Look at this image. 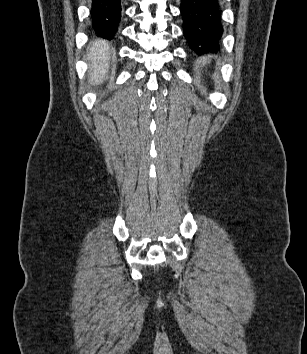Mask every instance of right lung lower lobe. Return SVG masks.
I'll return each mask as SVG.
<instances>
[{"label": "right lung lower lobe", "mask_w": 307, "mask_h": 354, "mask_svg": "<svg viewBox=\"0 0 307 354\" xmlns=\"http://www.w3.org/2000/svg\"><path fill=\"white\" fill-rule=\"evenodd\" d=\"M90 19L97 35L112 39L121 18V0H92Z\"/></svg>", "instance_id": "1"}]
</instances>
